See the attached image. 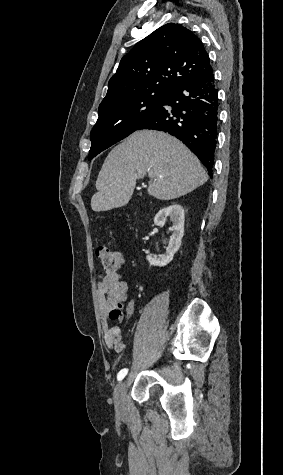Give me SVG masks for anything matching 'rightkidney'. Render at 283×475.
Wrapping results in <instances>:
<instances>
[{"label":"right kidney","mask_w":283,"mask_h":475,"mask_svg":"<svg viewBox=\"0 0 283 475\" xmlns=\"http://www.w3.org/2000/svg\"><path fill=\"white\" fill-rule=\"evenodd\" d=\"M167 218H170V222H172V226L169 230L170 232H173V234L170 236L169 245L166 247V253L159 255V257H151V255H147L146 259L149 261L150 265H167V263L172 261L174 253L178 251L181 245V239L184 236L185 222L182 206L172 204V206H168V208H162V210H159L158 214H156L154 224L163 228L165 222H167Z\"/></svg>","instance_id":"1"}]
</instances>
